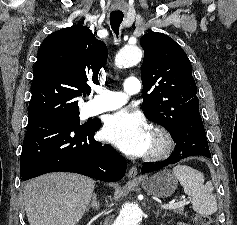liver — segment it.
<instances>
[{"label": "liver", "mask_w": 237, "mask_h": 225, "mask_svg": "<svg viewBox=\"0 0 237 225\" xmlns=\"http://www.w3.org/2000/svg\"><path fill=\"white\" fill-rule=\"evenodd\" d=\"M95 181L73 173L55 172L24 184L30 225H76L88 207Z\"/></svg>", "instance_id": "1"}]
</instances>
